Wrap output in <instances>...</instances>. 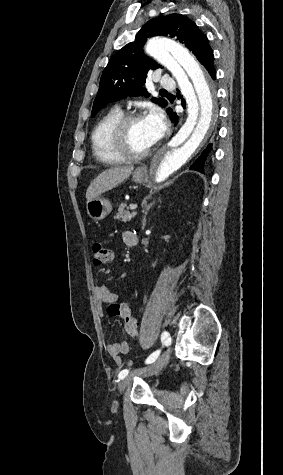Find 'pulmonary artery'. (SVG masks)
I'll return each mask as SVG.
<instances>
[{
	"mask_svg": "<svg viewBox=\"0 0 283 475\" xmlns=\"http://www.w3.org/2000/svg\"><path fill=\"white\" fill-rule=\"evenodd\" d=\"M160 89H171L172 81L171 80H160L158 83Z\"/></svg>",
	"mask_w": 283,
	"mask_h": 475,
	"instance_id": "obj_1",
	"label": "pulmonary artery"
}]
</instances>
